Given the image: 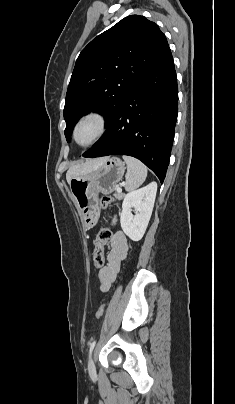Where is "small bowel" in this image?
I'll list each match as a JSON object with an SVG mask.
<instances>
[{
    "mask_svg": "<svg viewBox=\"0 0 235 404\" xmlns=\"http://www.w3.org/2000/svg\"><path fill=\"white\" fill-rule=\"evenodd\" d=\"M110 246L111 250L107 256V264L97 274L99 289L102 292L110 290L120 266L127 256L128 243L125 234L121 231L116 232L111 239Z\"/></svg>",
    "mask_w": 235,
    "mask_h": 404,
    "instance_id": "obj_1",
    "label": "small bowel"
}]
</instances>
